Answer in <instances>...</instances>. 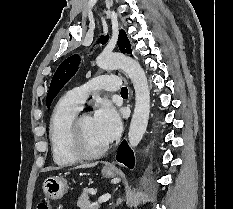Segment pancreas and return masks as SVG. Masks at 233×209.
Instances as JSON below:
<instances>
[{
  "label": "pancreas",
  "mask_w": 233,
  "mask_h": 209,
  "mask_svg": "<svg viewBox=\"0 0 233 209\" xmlns=\"http://www.w3.org/2000/svg\"><path fill=\"white\" fill-rule=\"evenodd\" d=\"M89 192L90 190L87 188L83 190V193L78 198L77 206L80 209H99L100 204H93L89 200Z\"/></svg>",
  "instance_id": "1"
}]
</instances>
